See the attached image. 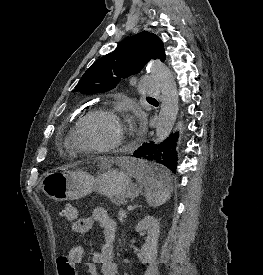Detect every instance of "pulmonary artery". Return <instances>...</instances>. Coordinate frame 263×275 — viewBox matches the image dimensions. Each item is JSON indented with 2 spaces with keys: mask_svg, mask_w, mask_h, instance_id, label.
Here are the masks:
<instances>
[{
  "mask_svg": "<svg viewBox=\"0 0 263 275\" xmlns=\"http://www.w3.org/2000/svg\"><path fill=\"white\" fill-rule=\"evenodd\" d=\"M139 89L147 96L159 95V85L150 78H142L139 83Z\"/></svg>",
  "mask_w": 263,
  "mask_h": 275,
  "instance_id": "1",
  "label": "pulmonary artery"
}]
</instances>
